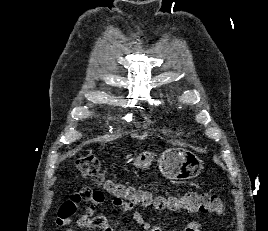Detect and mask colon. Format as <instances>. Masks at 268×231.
<instances>
[{
	"mask_svg": "<svg viewBox=\"0 0 268 231\" xmlns=\"http://www.w3.org/2000/svg\"><path fill=\"white\" fill-rule=\"evenodd\" d=\"M78 171L91 178L112 198L114 204L121 210H127L133 206L152 207L158 211L177 212L183 210L186 213H213L218 216L225 214V207L221 199L216 195L187 191L180 196L153 195L150 191L132 186L123 185L106 175L99 159L92 155H84L76 160ZM87 192L81 191L84 196Z\"/></svg>",
	"mask_w": 268,
	"mask_h": 231,
	"instance_id": "colon-1",
	"label": "colon"
}]
</instances>
